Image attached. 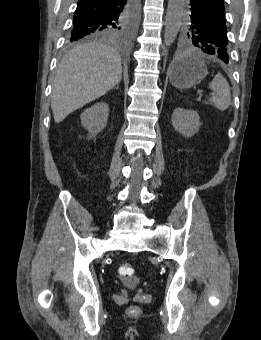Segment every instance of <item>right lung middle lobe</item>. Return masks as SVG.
<instances>
[{
	"mask_svg": "<svg viewBox=\"0 0 261 340\" xmlns=\"http://www.w3.org/2000/svg\"><path fill=\"white\" fill-rule=\"evenodd\" d=\"M138 12V1L132 0L123 10L120 17L106 22L87 32L70 31L68 43H75L81 39L126 40L132 33Z\"/></svg>",
	"mask_w": 261,
	"mask_h": 340,
	"instance_id": "dd1d6c3e",
	"label": "right lung middle lobe"
}]
</instances>
